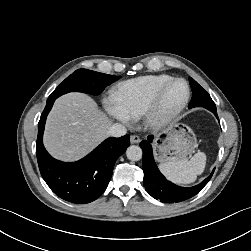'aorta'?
<instances>
[{
	"mask_svg": "<svg viewBox=\"0 0 251 251\" xmlns=\"http://www.w3.org/2000/svg\"><path fill=\"white\" fill-rule=\"evenodd\" d=\"M142 149L137 145H131L126 150V156L131 161H139L142 158Z\"/></svg>",
	"mask_w": 251,
	"mask_h": 251,
	"instance_id": "obj_1",
	"label": "aorta"
}]
</instances>
